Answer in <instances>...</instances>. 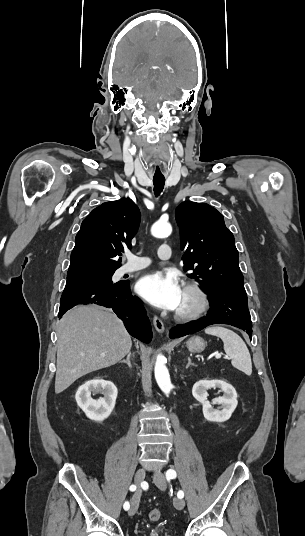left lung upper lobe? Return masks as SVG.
<instances>
[{"label": "left lung upper lobe", "instance_id": "obj_1", "mask_svg": "<svg viewBox=\"0 0 305 536\" xmlns=\"http://www.w3.org/2000/svg\"><path fill=\"white\" fill-rule=\"evenodd\" d=\"M184 270L210 294L245 292L239 254L223 215L206 203L183 202L176 208Z\"/></svg>", "mask_w": 305, "mask_h": 536}]
</instances>
